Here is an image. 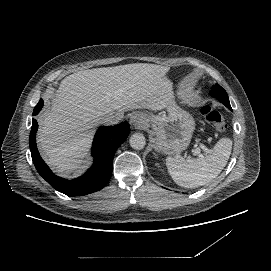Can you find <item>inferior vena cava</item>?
Wrapping results in <instances>:
<instances>
[{
	"instance_id": "inferior-vena-cava-1",
	"label": "inferior vena cava",
	"mask_w": 271,
	"mask_h": 271,
	"mask_svg": "<svg viewBox=\"0 0 271 271\" xmlns=\"http://www.w3.org/2000/svg\"><path fill=\"white\" fill-rule=\"evenodd\" d=\"M96 120L99 124L109 126L117 124L120 119L115 117L113 114H104L99 116Z\"/></svg>"
}]
</instances>
